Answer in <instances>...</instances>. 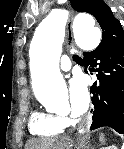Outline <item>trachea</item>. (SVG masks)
<instances>
[{
    "instance_id": "3493384b",
    "label": "trachea",
    "mask_w": 124,
    "mask_h": 149,
    "mask_svg": "<svg viewBox=\"0 0 124 149\" xmlns=\"http://www.w3.org/2000/svg\"><path fill=\"white\" fill-rule=\"evenodd\" d=\"M73 60L77 61V60H81V58L79 56H77V55H73Z\"/></svg>"
}]
</instances>
